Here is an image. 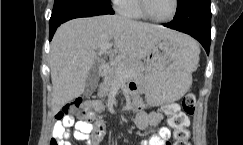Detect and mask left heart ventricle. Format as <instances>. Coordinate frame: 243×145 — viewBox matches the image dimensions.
<instances>
[{
	"label": "left heart ventricle",
	"instance_id": "left-heart-ventricle-1",
	"mask_svg": "<svg viewBox=\"0 0 243 145\" xmlns=\"http://www.w3.org/2000/svg\"><path fill=\"white\" fill-rule=\"evenodd\" d=\"M173 0H147V7L152 16L164 19L173 11Z\"/></svg>",
	"mask_w": 243,
	"mask_h": 145
}]
</instances>
